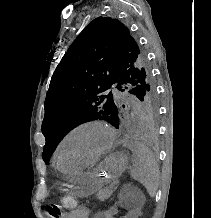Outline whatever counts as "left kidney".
Instances as JSON below:
<instances>
[{"label":"left kidney","mask_w":211,"mask_h":218,"mask_svg":"<svg viewBox=\"0 0 211 218\" xmlns=\"http://www.w3.org/2000/svg\"><path fill=\"white\" fill-rule=\"evenodd\" d=\"M123 207L125 213H118L123 212ZM107 218H140V215H137L136 207H132V198H121L116 207H109Z\"/></svg>","instance_id":"obj_1"}]
</instances>
